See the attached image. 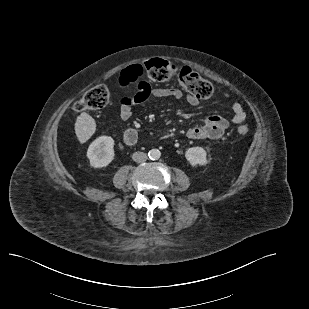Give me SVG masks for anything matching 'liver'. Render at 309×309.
I'll return each instance as SVG.
<instances>
[{
	"mask_svg": "<svg viewBox=\"0 0 309 309\" xmlns=\"http://www.w3.org/2000/svg\"><path fill=\"white\" fill-rule=\"evenodd\" d=\"M96 131L95 120L87 113H81L75 122V133L81 144L91 138Z\"/></svg>",
	"mask_w": 309,
	"mask_h": 309,
	"instance_id": "6515ba94",
	"label": "liver"
}]
</instances>
